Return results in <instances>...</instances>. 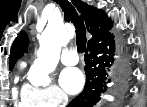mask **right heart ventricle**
Instances as JSON below:
<instances>
[{
	"mask_svg": "<svg viewBox=\"0 0 147 107\" xmlns=\"http://www.w3.org/2000/svg\"><path fill=\"white\" fill-rule=\"evenodd\" d=\"M20 104H21L22 106H26V107L33 106V105H34V104H32L30 101L24 100V99H22V98H21Z\"/></svg>",
	"mask_w": 147,
	"mask_h": 107,
	"instance_id": "1",
	"label": "right heart ventricle"
}]
</instances>
